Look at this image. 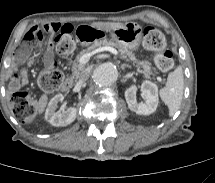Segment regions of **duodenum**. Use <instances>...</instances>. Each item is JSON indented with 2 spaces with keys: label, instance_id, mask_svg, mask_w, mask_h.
Wrapping results in <instances>:
<instances>
[{
  "label": "duodenum",
  "instance_id": "duodenum-1",
  "mask_svg": "<svg viewBox=\"0 0 215 183\" xmlns=\"http://www.w3.org/2000/svg\"><path fill=\"white\" fill-rule=\"evenodd\" d=\"M72 81L70 79H67L66 81H64L62 84H61V89L63 91H68L72 88Z\"/></svg>",
  "mask_w": 215,
  "mask_h": 183
}]
</instances>
